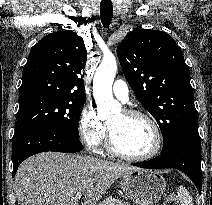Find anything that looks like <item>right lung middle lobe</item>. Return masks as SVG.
<instances>
[{
  "label": "right lung middle lobe",
  "instance_id": "right-lung-middle-lobe-1",
  "mask_svg": "<svg viewBox=\"0 0 212 205\" xmlns=\"http://www.w3.org/2000/svg\"><path fill=\"white\" fill-rule=\"evenodd\" d=\"M85 101L50 96L20 100L15 135L31 129H51L79 140L78 122Z\"/></svg>",
  "mask_w": 212,
  "mask_h": 205
}]
</instances>
